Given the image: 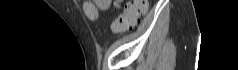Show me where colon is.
I'll use <instances>...</instances> for the list:
<instances>
[{"label":"colon","mask_w":238,"mask_h":70,"mask_svg":"<svg viewBox=\"0 0 238 70\" xmlns=\"http://www.w3.org/2000/svg\"><path fill=\"white\" fill-rule=\"evenodd\" d=\"M147 4V0L129 1L126 5L124 13L115 21L114 29L116 31L132 30L139 22L140 14L147 10ZM88 13L92 17L98 15L92 6L88 8Z\"/></svg>","instance_id":"colon-1"}]
</instances>
